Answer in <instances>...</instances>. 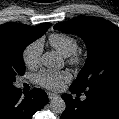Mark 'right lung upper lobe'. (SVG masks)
I'll return each instance as SVG.
<instances>
[{
	"label": "right lung upper lobe",
	"instance_id": "obj_1",
	"mask_svg": "<svg viewBox=\"0 0 119 119\" xmlns=\"http://www.w3.org/2000/svg\"><path fill=\"white\" fill-rule=\"evenodd\" d=\"M51 26V23H42L37 26H28L18 23H5L0 25V45L3 44L10 36L23 33L26 35H32L41 37L46 30ZM6 91L0 90V96Z\"/></svg>",
	"mask_w": 119,
	"mask_h": 119
}]
</instances>
